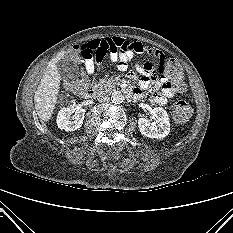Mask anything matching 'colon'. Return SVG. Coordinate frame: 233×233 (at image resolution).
<instances>
[{
  "instance_id": "colon-1",
  "label": "colon",
  "mask_w": 233,
  "mask_h": 233,
  "mask_svg": "<svg viewBox=\"0 0 233 233\" xmlns=\"http://www.w3.org/2000/svg\"><path fill=\"white\" fill-rule=\"evenodd\" d=\"M166 71L170 76L168 85L175 89L179 93H183L186 89L185 83L183 81V71L180 63L174 59L168 60L161 72ZM68 87L77 95H83L87 83L84 78L78 79L76 81L68 83ZM192 114V108L189 103L183 100L175 102L173 106V115L178 122H186Z\"/></svg>"
}]
</instances>
